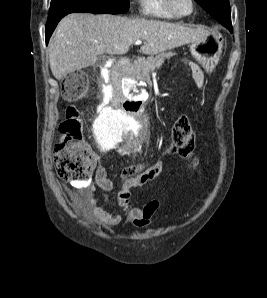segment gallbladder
<instances>
[{
  "instance_id": "bac80fb5",
  "label": "gallbladder",
  "mask_w": 267,
  "mask_h": 298,
  "mask_svg": "<svg viewBox=\"0 0 267 298\" xmlns=\"http://www.w3.org/2000/svg\"><path fill=\"white\" fill-rule=\"evenodd\" d=\"M107 57H102V59H106Z\"/></svg>"
}]
</instances>
